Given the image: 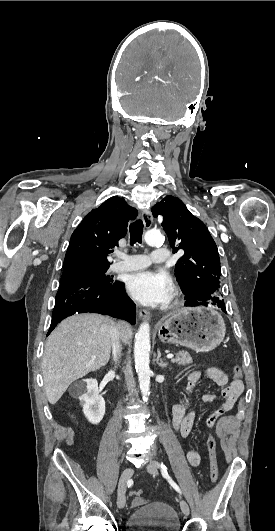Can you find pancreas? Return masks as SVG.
Instances as JSON below:
<instances>
[{"label": "pancreas", "mask_w": 275, "mask_h": 531, "mask_svg": "<svg viewBox=\"0 0 275 531\" xmlns=\"http://www.w3.org/2000/svg\"><path fill=\"white\" fill-rule=\"evenodd\" d=\"M172 363H178V365H191L193 363L192 357L186 351H179L176 353V359H173Z\"/></svg>", "instance_id": "cf45deb5"}]
</instances>
